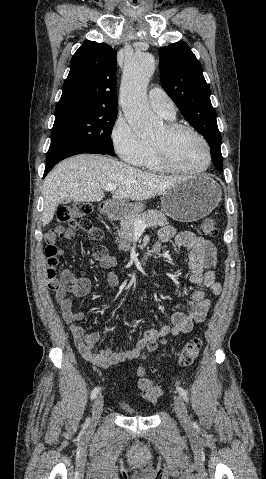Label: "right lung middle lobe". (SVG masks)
Segmentation results:
<instances>
[{
  "label": "right lung middle lobe",
  "mask_w": 266,
  "mask_h": 479,
  "mask_svg": "<svg viewBox=\"0 0 266 479\" xmlns=\"http://www.w3.org/2000/svg\"><path fill=\"white\" fill-rule=\"evenodd\" d=\"M117 110L67 111L55 114L51 143H66L114 155L111 132Z\"/></svg>",
  "instance_id": "dd1d6c3e"
}]
</instances>
